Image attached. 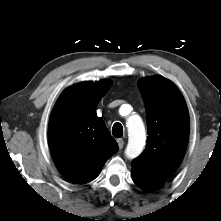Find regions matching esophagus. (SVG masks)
Here are the masks:
<instances>
[{
    "label": "esophagus",
    "mask_w": 221,
    "mask_h": 221,
    "mask_svg": "<svg viewBox=\"0 0 221 221\" xmlns=\"http://www.w3.org/2000/svg\"><path fill=\"white\" fill-rule=\"evenodd\" d=\"M117 143H118V147H119L120 149H122L123 146H124V144H125V142H124L123 139H118V140H117Z\"/></svg>",
    "instance_id": "obj_1"
}]
</instances>
